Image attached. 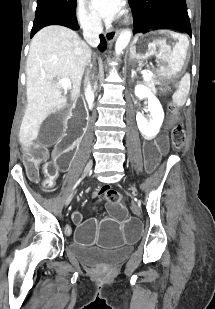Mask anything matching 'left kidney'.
<instances>
[{"instance_id": "1", "label": "left kidney", "mask_w": 215, "mask_h": 309, "mask_svg": "<svg viewBox=\"0 0 215 309\" xmlns=\"http://www.w3.org/2000/svg\"><path fill=\"white\" fill-rule=\"evenodd\" d=\"M134 92L139 98H143V96L148 98L147 110L150 112L148 118L144 116L143 112H137L136 120L139 130L144 134L145 138H153L158 134L164 120L162 104L155 94L151 92L150 88H147L144 84H136Z\"/></svg>"}]
</instances>
